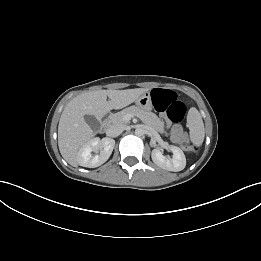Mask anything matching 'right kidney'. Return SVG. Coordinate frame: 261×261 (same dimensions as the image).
Instances as JSON below:
<instances>
[{
    "label": "right kidney",
    "instance_id": "1",
    "mask_svg": "<svg viewBox=\"0 0 261 261\" xmlns=\"http://www.w3.org/2000/svg\"><path fill=\"white\" fill-rule=\"evenodd\" d=\"M115 146V141L110 138H93L85 143L78 152V163L80 166L95 168L105 163ZM100 154L92 155V152H98Z\"/></svg>",
    "mask_w": 261,
    "mask_h": 261
}]
</instances>
